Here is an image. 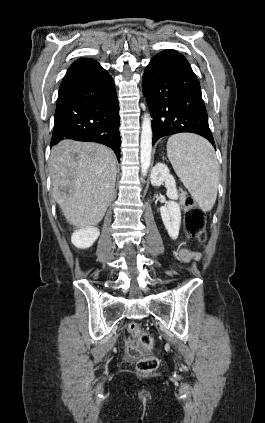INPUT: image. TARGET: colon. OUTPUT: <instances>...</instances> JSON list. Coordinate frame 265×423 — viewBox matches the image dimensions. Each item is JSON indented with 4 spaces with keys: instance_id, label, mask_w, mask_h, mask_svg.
I'll return each mask as SVG.
<instances>
[{
    "instance_id": "colon-1",
    "label": "colon",
    "mask_w": 265,
    "mask_h": 423,
    "mask_svg": "<svg viewBox=\"0 0 265 423\" xmlns=\"http://www.w3.org/2000/svg\"><path fill=\"white\" fill-rule=\"evenodd\" d=\"M185 230L189 236L198 239L200 242L206 240L205 232V213L195 204L192 198H187L185 201ZM128 331L136 337L138 347L141 350L148 351L153 346L152 336L142 330L135 322L128 324ZM136 351L132 353L135 355ZM159 366V359L155 356L142 357L137 362L139 371L148 373L155 371Z\"/></svg>"
}]
</instances>
